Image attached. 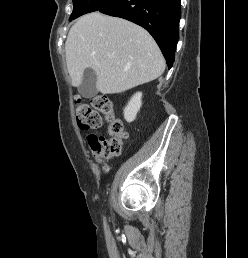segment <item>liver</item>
Masks as SVG:
<instances>
[{
  "label": "liver",
  "mask_w": 248,
  "mask_h": 258,
  "mask_svg": "<svg viewBox=\"0 0 248 258\" xmlns=\"http://www.w3.org/2000/svg\"><path fill=\"white\" fill-rule=\"evenodd\" d=\"M72 85L79 87L83 72H96L102 94L124 92L153 81L165 70L164 57L151 35L122 18L99 12L86 14L72 26L65 42Z\"/></svg>",
  "instance_id": "liver-1"
}]
</instances>
